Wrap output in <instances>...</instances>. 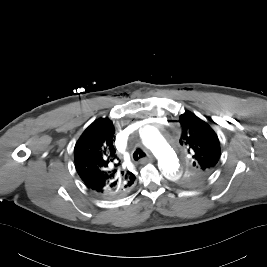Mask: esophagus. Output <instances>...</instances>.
<instances>
[{"mask_svg":"<svg viewBox=\"0 0 267 267\" xmlns=\"http://www.w3.org/2000/svg\"><path fill=\"white\" fill-rule=\"evenodd\" d=\"M149 162H152V157H146V158H142V159L140 160V163H141V164L149 163Z\"/></svg>","mask_w":267,"mask_h":267,"instance_id":"1","label":"esophagus"}]
</instances>
